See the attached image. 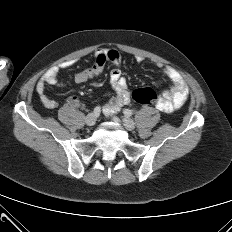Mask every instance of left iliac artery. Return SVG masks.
<instances>
[{"label": "left iliac artery", "instance_id": "1", "mask_svg": "<svg viewBox=\"0 0 232 232\" xmlns=\"http://www.w3.org/2000/svg\"><path fill=\"white\" fill-rule=\"evenodd\" d=\"M123 113L125 114V116H128V117L133 115L132 111L129 109H124Z\"/></svg>", "mask_w": 232, "mask_h": 232}]
</instances>
